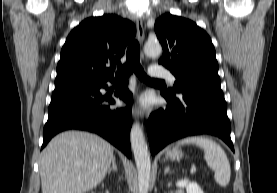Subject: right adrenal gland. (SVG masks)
<instances>
[{
	"instance_id": "right-adrenal-gland-1",
	"label": "right adrenal gland",
	"mask_w": 277,
	"mask_h": 193,
	"mask_svg": "<svg viewBox=\"0 0 277 193\" xmlns=\"http://www.w3.org/2000/svg\"><path fill=\"white\" fill-rule=\"evenodd\" d=\"M112 170L117 171V165H116V159H115V157L112 160V167L109 168L108 173L110 174Z\"/></svg>"
}]
</instances>
